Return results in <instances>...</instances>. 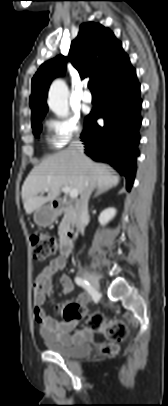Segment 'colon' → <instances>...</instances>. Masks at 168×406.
I'll use <instances>...</instances> for the list:
<instances>
[{
  "label": "colon",
  "mask_w": 168,
  "mask_h": 406,
  "mask_svg": "<svg viewBox=\"0 0 168 406\" xmlns=\"http://www.w3.org/2000/svg\"><path fill=\"white\" fill-rule=\"evenodd\" d=\"M30 244L33 257L38 261H44L54 256L58 249L57 240L43 232L33 233L30 236ZM77 316L79 317L80 313L76 307L67 306L65 308V320H72ZM81 319L88 330L102 333L107 338L108 342L102 347L104 354H114L117 351V343L128 335V328L121 320H107L100 312L83 313Z\"/></svg>",
  "instance_id": "1"
}]
</instances>
